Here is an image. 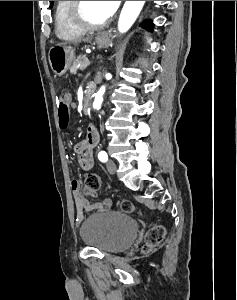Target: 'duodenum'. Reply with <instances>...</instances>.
<instances>
[{"instance_id": "obj_1", "label": "duodenum", "mask_w": 237, "mask_h": 300, "mask_svg": "<svg viewBox=\"0 0 237 300\" xmlns=\"http://www.w3.org/2000/svg\"><path fill=\"white\" fill-rule=\"evenodd\" d=\"M91 97H92V91L91 89H87L82 101V111L84 113H87V111L89 110V107L91 105Z\"/></svg>"}]
</instances>
